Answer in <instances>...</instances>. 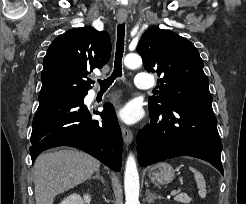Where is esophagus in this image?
<instances>
[{"mask_svg": "<svg viewBox=\"0 0 246 204\" xmlns=\"http://www.w3.org/2000/svg\"><path fill=\"white\" fill-rule=\"evenodd\" d=\"M127 19L126 15H118L117 16V21L119 23H124ZM121 132H122V137H123V141L126 145H130L133 141V133L132 131L127 128L126 126L122 125L121 126Z\"/></svg>", "mask_w": 246, "mask_h": 204, "instance_id": "esophagus-1", "label": "esophagus"}]
</instances>
